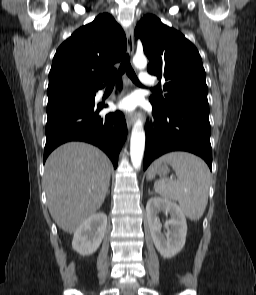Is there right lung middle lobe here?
<instances>
[{
	"mask_svg": "<svg viewBox=\"0 0 256 295\" xmlns=\"http://www.w3.org/2000/svg\"><path fill=\"white\" fill-rule=\"evenodd\" d=\"M70 95L78 97V98H85L86 97V94L82 93V92H70V93L64 94V95H62L60 97L70 96Z\"/></svg>",
	"mask_w": 256,
	"mask_h": 295,
	"instance_id": "dd1d6c3e",
	"label": "right lung middle lobe"
}]
</instances>
